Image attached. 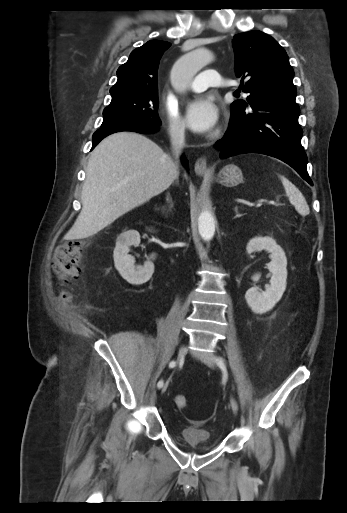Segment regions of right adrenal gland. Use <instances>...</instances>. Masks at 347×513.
Wrapping results in <instances>:
<instances>
[{
    "instance_id": "obj_1",
    "label": "right adrenal gland",
    "mask_w": 347,
    "mask_h": 513,
    "mask_svg": "<svg viewBox=\"0 0 347 513\" xmlns=\"http://www.w3.org/2000/svg\"><path fill=\"white\" fill-rule=\"evenodd\" d=\"M166 200L169 203L168 209L172 208L173 207V202H172V199L170 198L169 193L167 194V199ZM161 210H165V207H163Z\"/></svg>"
}]
</instances>
